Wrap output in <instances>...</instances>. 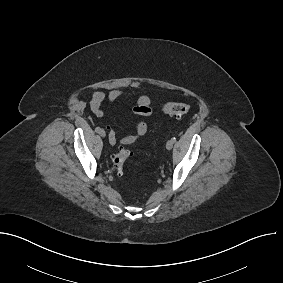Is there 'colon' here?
<instances>
[{
  "instance_id": "1",
  "label": "colon",
  "mask_w": 283,
  "mask_h": 283,
  "mask_svg": "<svg viewBox=\"0 0 283 283\" xmlns=\"http://www.w3.org/2000/svg\"><path fill=\"white\" fill-rule=\"evenodd\" d=\"M162 112L173 116H182L190 111V106L180 102H168L162 105ZM132 155L128 148H121L112 156V168L115 173L121 175L124 171V166L127 160Z\"/></svg>"
}]
</instances>
